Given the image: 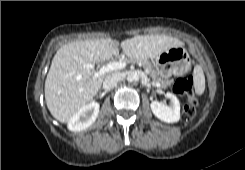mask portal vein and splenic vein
Segmentation results:
<instances>
[{
  "mask_svg": "<svg viewBox=\"0 0 245 170\" xmlns=\"http://www.w3.org/2000/svg\"><path fill=\"white\" fill-rule=\"evenodd\" d=\"M94 64H84L85 68H94ZM126 66L125 62L119 61V62H110L106 65H103L100 67L99 71L97 73H95V77H98L100 75H103L109 71H114V70H118V69H123Z\"/></svg>",
  "mask_w": 245,
  "mask_h": 170,
  "instance_id": "1",
  "label": "portal vein and splenic vein"
}]
</instances>
